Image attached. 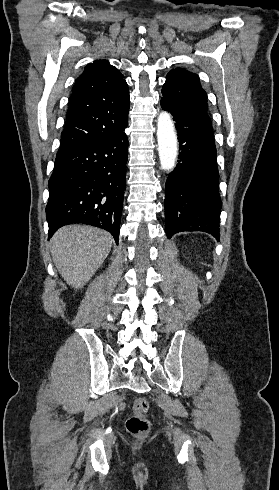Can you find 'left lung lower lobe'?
<instances>
[{
	"mask_svg": "<svg viewBox=\"0 0 279 490\" xmlns=\"http://www.w3.org/2000/svg\"><path fill=\"white\" fill-rule=\"evenodd\" d=\"M161 106L176 121L181 150L165 185L167 237L181 231H203L219 241L221 199L211 119L164 98Z\"/></svg>",
	"mask_w": 279,
	"mask_h": 490,
	"instance_id": "left-lung-lower-lobe-1",
	"label": "left lung lower lobe"
}]
</instances>
